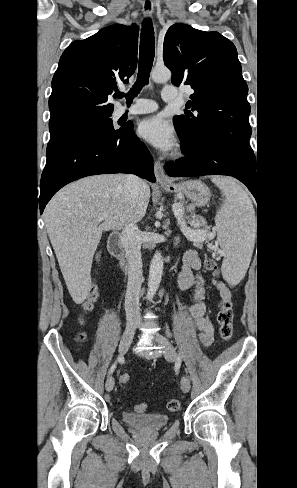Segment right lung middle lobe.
<instances>
[{"label":"right lung middle lobe","mask_w":297,"mask_h":488,"mask_svg":"<svg viewBox=\"0 0 297 488\" xmlns=\"http://www.w3.org/2000/svg\"><path fill=\"white\" fill-rule=\"evenodd\" d=\"M117 131L118 130H114L112 120L109 117L85 121L64 128L60 131L50 133V140L47 145L46 156L48 157L52 155L62 146L74 140L84 137L110 135Z\"/></svg>","instance_id":"dd1d6c3e"}]
</instances>
